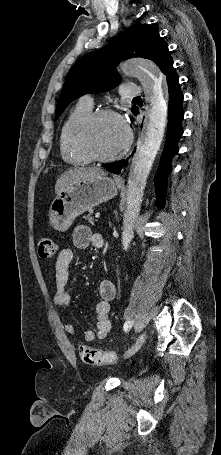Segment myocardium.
Listing matches in <instances>:
<instances>
[{"label":"myocardium","instance_id":"f54148a6","mask_svg":"<svg viewBox=\"0 0 221 455\" xmlns=\"http://www.w3.org/2000/svg\"><path fill=\"white\" fill-rule=\"evenodd\" d=\"M104 117H114L118 119L124 126L125 131H126V141L122 148L118 150L117 152L107 155V156H101L98 155L93 151L90 145V135L93 126L96 124L97 121ZM78 144L80 149L83 151V153L90 159V161L94 162H100V163H106V162H111L115 161L122 156H124L130 149L133 141V134L132 131L127 124V122L124 120V118L115 110L112 109H99L96 111H92L80 124L78 128Z\"/></svg>","mask_w":221,"mask_h":455}]
</instances>
